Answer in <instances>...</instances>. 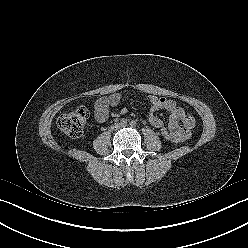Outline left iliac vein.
<instances>
[{"instance_id":"1","label":"left iliac vein","mask_w":248,"mask_h":248,"mask_svg":"<svg viewBox=\"0 0 248 248\" xmlns=\"http://www.w3.org/2000/svg\"><path fill=\"white\" fill-rule=\"evenodd\" d=\"M125 126H127L126 124H121V127H125Z\"/></svg>"}]
</instances>
